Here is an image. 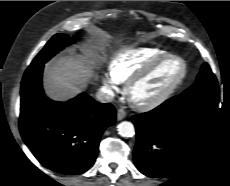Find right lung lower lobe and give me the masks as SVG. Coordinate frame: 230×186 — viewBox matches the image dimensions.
Masks as SVG:
<instances>
[{
  "label": "right lung lower lobe",
  "mask_w": 230,
  "mask_h": 186,
  "mask_svg": "<svg viewBox=\"0 0 230 186\" xmlns=\"http://www.w3.org/2000/svg\"><path fill=\"white\" fill-rule=\"evenodd\" d=\"M43 68H28L21 82V136L43 166L81 174L94 164L101 135L115 123L116 110L87 94L68 102L50 100L42 89Z\"/></svg>",
  "instance_id": "right-lung-lower-lobe-1"
}]
</instances>
